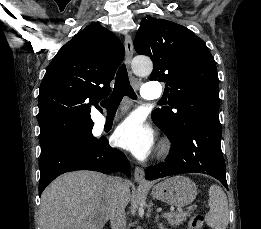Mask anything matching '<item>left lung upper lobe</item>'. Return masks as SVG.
Wrapping results in <instances>:
<instances>
[{"instance_id": "5c2ea615", "label": "left lung upper lobe", "mask_w": 261, "mask_h": 229, "mask_svg": "<svg viewBox=\"0 0 261 229\" xmlns=\"http://www.w3.org/2000/svg\"><path fill=\"white\" fill-rule=\"evenodd\" d=\"M134 47L153 61L150 80L167 83L170 107L154 110L152 119L168 137H179L195 120L220 126L217 69L202 39L182 25L146 17Z\"/></svg>"}]
</instances>
